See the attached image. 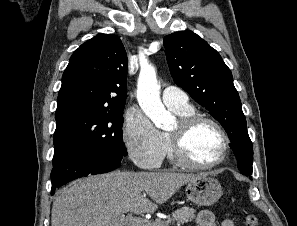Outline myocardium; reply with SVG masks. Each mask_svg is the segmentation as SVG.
<instances>
[{
  "instance_id": "myocardium-1",
  "label": "myocardium",
  "mask_w": 297,
  "mask_h": 226,
  "mask_svg": "<svg viewBox=\"0 0 297 226\" xmlns=\"http://www.w3.org/2000/svg\"><path fill=\"white\" fill-rule=\"evenodd\" d=\"M201 123H210L215 126L224 139V144L222 147V151L220 156L211 163L201 164L196 162L190 154L188 153L186 146V139L190 131ZM167 137L171 146V150L174 156L175 161L184 167L191 169H212L218 165H220L226 158L227 152L230 147V137L226 129L222 126V124L216 119L201 115V114H193L186 117H181L177 122V130L174 132H168Z\"/></svg>"
}]
</instances>
